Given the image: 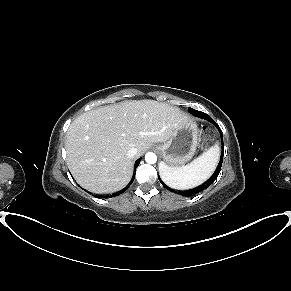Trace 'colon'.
Here are the masks:
<instances>
[{"label":"colon","mask_w":291,"mask_h":291,"mask_svg":"<svg viewBox=\"0 0 291 291\" xmlns=\"http://www.w3.org/2000/svg\"><path fill=\"white\" fill-rule=\"evenodd\" d=\"M212 133L209 129H205L203 131V135H202V141H201V147L202 148H206L209 144V142L212 140Z\"/></svg>","instance_id":"5ec220e1"}]
</instances>
